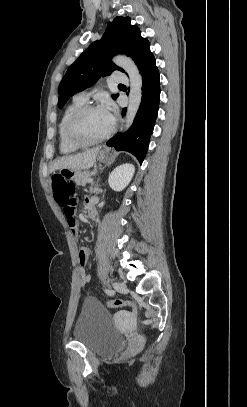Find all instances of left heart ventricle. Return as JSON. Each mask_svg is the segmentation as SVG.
Here are the masks:
<instances>
[{
	"instance_id": "1",
	"label": "left heart ventricle",
	"mask_w": 247,
	"mask_h": 407,
	"mask_svg": "<svg viewBox=\"0 0 247 407\" xmlns=\"http://www.w3.org/2000/svg\"><path fill=\"white\" fill-rule=\"evenodd\" d=\"M102 109H95L85 113L77 124L78 134L86 140H94L105 135L111 128Z\"/></svg>"
}]
</instances>
